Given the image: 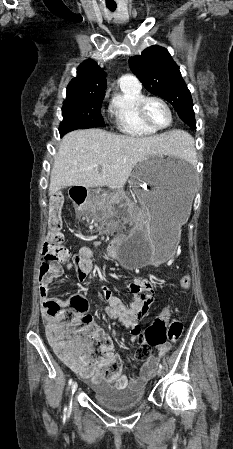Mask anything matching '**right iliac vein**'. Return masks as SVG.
<instances>
[{
  "label": "right iliac vein",
  "instance_id": "obj_1",
  "mask_svg": "<svg viewBox=\"0 0 233 449\" xmlns=\"http://www.w3.org/2000/svg\"><path fill=\"white\" fill-rule=\"evenodd\" d=\"M76 390H77V383L73 382L72 383V393H75Z\"/></svg>",
  "mask_w": 233,
  "mask_h": 449
}]
</instances>
